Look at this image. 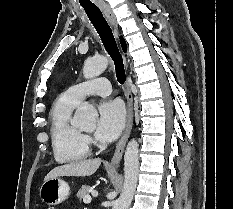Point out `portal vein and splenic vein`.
<instances>
[{"mask_svg": "<svg viewBox=\"0 0 233 209\" xmlns=\"http://www.w3.org/2000/svg\"><path fill=\"white\" fill-rule=\"evenodd\" d=\"M84 203L85 204H90L91 201H92V198L90 196H86L84 199H83Z\"/></svg>", "mask_w": 233, "mask_h": 209, "instance_id": "portal-vein-and-splenic-vein-1", "label": "portal vein and splenic vein"}]
</instances>
